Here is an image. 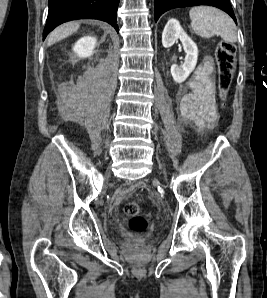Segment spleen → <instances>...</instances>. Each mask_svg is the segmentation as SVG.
Listing matches in <instances>:
<instances>
[{"label": "spleen", "instance_id": "1", "mask_svg": "<svg viewBox=\"0 0 267 298\" xmlns=\"http://www.w3.org/2000/svg\"><path fill=\"white\" fill-rule=\"evenodd\" d=\"M191 27L195 34L203 38L220 36L225 42H237V28L232 18L225 12L210 6H196L189 12Z\"/></svg>", "mask_w": 267, "mask_h": 298}]
</instances>
